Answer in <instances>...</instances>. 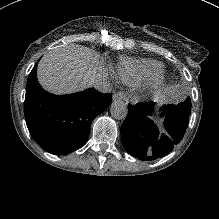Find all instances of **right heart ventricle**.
I'll return each instance as SVG.
<instances>
[{"label":"right heart ventricle","instance_id":"obj_1","mask_svg":"<svg viewBox=\"0 0 219 219\" xmlns=\"http://www.w3.org/2000/svg\"><path fill=\"white\" fill-rule=\"evenodd\" d=\"M161 69L163 65L153 59L122 58L115 65L114 76L126 85L137 86Z\"/></svg>","mask_w":219,"mask_h":219}]
</instances>
